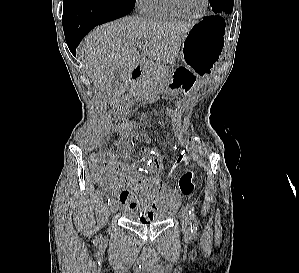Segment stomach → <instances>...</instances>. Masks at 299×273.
<instances>
[{"mask_svg":"<svg viewBox=\"0 0 299 273\" xmlns=\"http://www.w3.org/2000/svg\"><path fill=\"white\" fill-rule=\"evenodd\" d=\"M225 20L217 15L195 23L183 41L182 54L187 67H174V76L164 77L160 86L168 94H187L198 87L199 77L215 74L223 53Z\"/></svg>","mask_w":299,"mask_h":273,"instance_id":"0dacf381","label":"stomach"}]
</instances>
